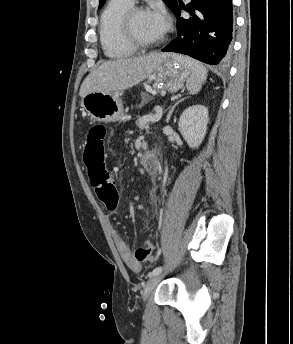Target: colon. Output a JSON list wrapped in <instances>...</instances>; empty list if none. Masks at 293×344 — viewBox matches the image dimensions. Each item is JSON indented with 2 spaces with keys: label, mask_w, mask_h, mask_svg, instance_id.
<instances>
[{
  "label": "colon",
  "mask_w": 293,
  "mask_h": 344,
  "mask_svg": "<svg viewBox=\"0 0 293 344\" xmlns=\"http://www.w3.org/2000/svg\"><path fill=\"white\" fill-rule=\"evenodd\" d=\"M105 138V126L94 125L89 129L86 136L84 161L97 197L108 209L113 210L118 206L119 195L114 182L105 170ZM154 250V244L146 240L136 248L134 257L141 262L149 261L154 256Z\"/></svg>",
  "instance_id": "1"
}]
</instances>
